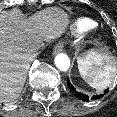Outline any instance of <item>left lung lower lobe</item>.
Returning a JSON list of instances; mask_svg holds the SVG:
<instances>
[{
	"mask_svg": "<svg viewBox=\"0 0 117 117\" xmlns=\"http://www.w3.org/2000/svg\"><path fill=\"white\" fill-rule=\"evenodd\" d=\"M67 85H68L69 89L71 90V92L74 93V95H75L76 97H78L79 99H81V100H83V101H88V100H89L88 95L76 91V89H75V88L73 87V85L70 83L69 79L67 80ZM108 90H109V89H106V90L104 91V94L107 93ZM101 97H103V94L95 95V96L91 97V99H92V100H96V99H99V98H101Z\"/></svg>",
	"mask_w": 117,
	"mask_h": 117,
	"instance_id": "left-lung-lower-lobe-1",
	"label": "left lung lower lobe"
}]
</instances>
